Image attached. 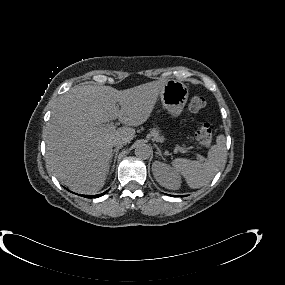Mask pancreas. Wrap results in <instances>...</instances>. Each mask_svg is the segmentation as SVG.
Masks as SVG:
<instances>
[{"mask_svg": "<svg viewBox=\"0 0 285 285\" xmlns=\"http://www.w3.org/2000/svg\"><path fill=\"white\" fill-rule=\"evenodd\" d=\"M150 133H151V136H153L156 140L158 141L164 140V138L160 136L159 130L157 128H153Z\"/></svg>", "mask_w": 285, "mask_h": 285, "instance_id": "1", "label": "pancreas"}]
</instances>
